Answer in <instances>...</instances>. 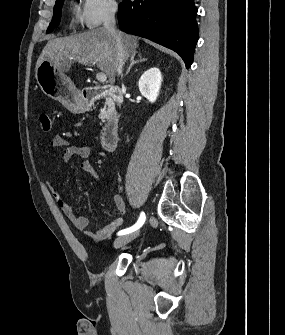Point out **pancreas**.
I'll use <instances>...</instances> for the list:
<instances>
[{
  "mask_svg": "<svg viewBox=\"0 0 285 335\" xmlns=\"http://www.w3.org/2000/svg\"><path fill=\"white\" fill-rule=\"evenodd\" d=\"M99 110L102 112V114L98 116V121L99 122H104L105 119H110L111 114H110V112H104L106 110V107L104 105H101L99 107Z\"/></svg>",
  "mask_w": 285,
  "mask_h": 335,
  "instance_id": "obj_1",
  "label": "pancreas"
}]
</instances>
